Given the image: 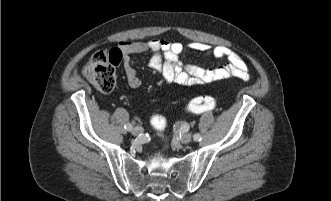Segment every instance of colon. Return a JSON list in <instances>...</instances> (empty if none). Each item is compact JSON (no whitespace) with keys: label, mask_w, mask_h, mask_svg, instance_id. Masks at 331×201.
I'll return each instance as SVG.
<instances>
[{"label":"colon","mask_w":331,"mask_h":201,"mask_svg":"<svg viewBox=\"0 0 331 201\" xmlns=\"http://www.w3.org/2000/svg\"><path fill=\"white\" fill-rule=\"evenodd\" d=\"M114 65V59L110 54L97 52L84 68V76L99 91L109 93L116 84ZM217 105L215 97L199 96L192 99L186 109L190 113H203L215 110ZM152 125L156 130L162 131L166 126V121L162 116L156 115L152 118Z\"/></svg>","instance_id":"1"}]
</instances>
